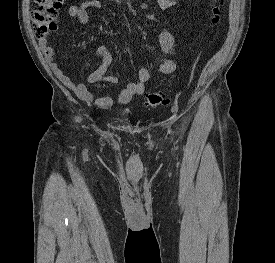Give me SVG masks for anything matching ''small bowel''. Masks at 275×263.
Wrapping results in <instances>:
<instances>
[{
	"label": "small bowel",
	"instance_id": "obj_1",
	"mask_svg": "<svg viewBox=\"0 0 275 263\" xmlns=\"http://www.w3.org/2000/svg\"><path fill=\"white\" fill-rule=\"evenodd\" d=\"M158 7L161 10H166L170 7L179 5L177 0H157ZM101 9L103 4L100 0H84L81 3L70 5L67 9V15L75 18L80 24L86 25L89 23V9ZM156 30L159 44L162 52L165 55H170L174 49L175 38L174 36L162 27L158 22L153 23ZM40 49L42 50L45 60L50 69L59 79V81L74 91V93L85 101L94 102L98 107L107 109L115 103L111 97H95L93 92L84 84H75L71 78L64 72L61 66L54 61V49L48 44L46 38L39 41ZM97 55L101 59V65L94 72L90 73L87 77V82L90 84L104 82L107 84H118L119 78L116 76H106V72L112 65L113 57L110 50L105 45H100L97 48ZM177 69L176 62L171 58H165L158 67L154 70L151 68L143 67L138 72V80L136 82L128 83L120 91L116 102L120 105L129 103L133 96L142 95L145 91L146 84L150 82L156 74L170 75Z\"/></svg>",
	"mask_w": 275,
	"mask_h": 263
}]
</instances>
